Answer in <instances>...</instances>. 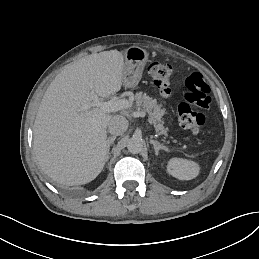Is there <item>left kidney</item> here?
Here are the masks:
<instances>
[{"mask_svg": "<svg viewBox=\"0 0 259 259\" xmlns=\"http://www.w3.org/2000/svg\"><path fill=\"white\" fill-rule=\"evenodd\" d=\"M199 171L197 163L181 158H172L167 165V172L179 180H191L198 176Z\"/></svg>", "mask_w": 259, "mask_h": 259, "instance_id": "5707ae66", "label": "left kidney"}]
</instances>
